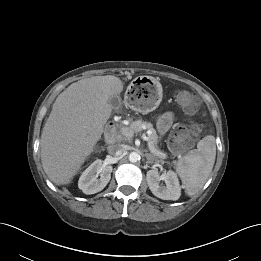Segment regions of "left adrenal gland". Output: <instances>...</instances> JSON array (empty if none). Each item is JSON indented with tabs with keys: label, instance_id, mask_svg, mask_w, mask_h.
<instances>
[{
	"label": "left adrenal gland",
	"instance_id": "1",
	"mask_svg": "<svg viewBox=\"0 0 261 261\" xmlns=\"http://www.w3.org/2000/svg\"><path fill=\"white\" fill-rule=\"evenodd\" d=\"M146 158H147L148 162L151 163L152 158L149 155H147Z\"/></svg>",
	"mask_w": 261,
	"mask_h": 261
}]
</instances>
